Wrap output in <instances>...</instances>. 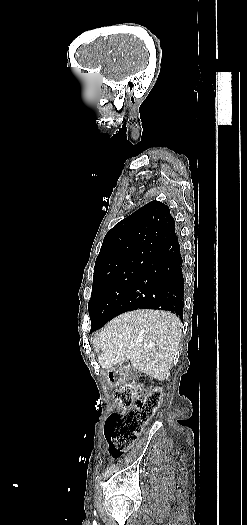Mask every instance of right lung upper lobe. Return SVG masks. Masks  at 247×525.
I'll return each mask as SVG.
<instances>
[{"label":"right lung upper lobe","mask_w":247,"mask_h":525,"mask_svg":"<svg viewBox=\"0 0 247 525\" xmlns=\"http://www.w3.org/2000/svg\"><path fill=\"white\" fill-rule=\"evenodd\" d=\"M175 236V222L169 208L159 201H151L108 231L94 272L129 267L156 252Z\"/></svg>","instance_id":"1"}]
</instances>
